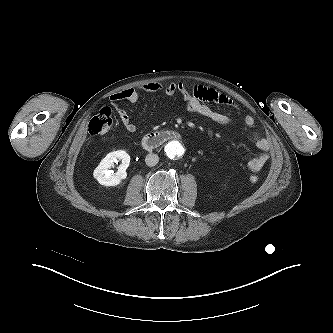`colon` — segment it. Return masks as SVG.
<instances>
[{"label":"colon","instance_id":"colon-1","mask_svg":"<svg viewBox=\"0 0 333 333\" xmlns=\"http://www.w3.org/2000/svg\"><path fill=\"white\" fill-rule=\"evenodd\" d=\"M113 125L112 110L104 106L102 107L97 115H95L89 123V131L94 135H101L107 133ZM250 181L252 183L258 182L259 178L257 175H251Z\"/></svg>","mask_w":333,"mask_h":333}]
</instances>
